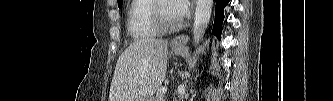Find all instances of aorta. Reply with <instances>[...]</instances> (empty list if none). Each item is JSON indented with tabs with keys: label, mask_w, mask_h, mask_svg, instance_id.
Instances as JSON below:
<instances>
[{
	"label": "aorta",
	"mask_w": 333,
	"mask_h": 101,
	"mask_svg": "<svg viewBox=\"0 0 333 101\" xmlns=\"http://www.w3.org/2000/svg\"><path fill=\"white\" fill-rule=\"evenodd\" d=\"M212 5L213 0H197L193 25V41L195 45L199 44L204 36L211 17Z\"/></svg>",
	"instance_id": "762f6f07"
}]
</instances>
